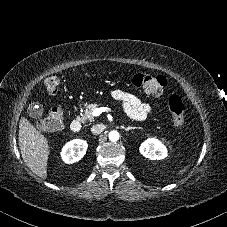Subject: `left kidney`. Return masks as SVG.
Here are the masks:
<instances>
[{
  "mask_svg": "<svg viewBox=\"0 0 227 227\" xmlns=\"http://www.w3.org/2000/svg\"><path fill=\"white\" fill-rule=\"evenodd\" d=\"M140 153L150 160H161L167 157V149L156 138H149L140 145Z\"/></svg>",
  "mask_w": 227,
  "mask_h": 227,
  "instance_id": "obj_1",
  "label": "left kidney"
}]
</instances>
